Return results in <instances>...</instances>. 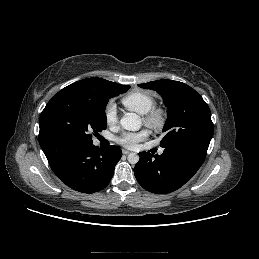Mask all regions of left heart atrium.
<instances>
[{
	"instance_id": "obj_1",
	"label": "left heart atrium",
	"mask_w": 259,
	"mask_h": 259,
	"mask_svg": "<svg viewBox=\"0 0 259 259\" xmlns=\"http://www.w3.org/2000/svg\"><path fill=\"white\" fill-rule=\"evenodd\" d=\"M148 137L147 130L137 132H124L117 137V142L125 148L133 149L136 145Z\"/></svg>"
}]
</instances>
